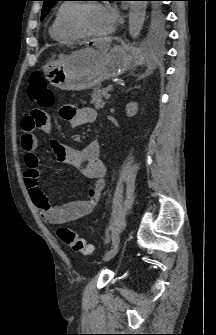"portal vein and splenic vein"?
<instances>
[{"instance_id": "portal-vein-and-splenic-vein-1", "label": "portal vein and splenic vein", "mask_w": 216, "mask_h": 335, "mask_svg": "<svg viewBox=\"0 0 216 335\" xmlns=\"http://www.w3.org/2000/svg\"><path fill=\"white\" fill-rule=\"evenodd\" d=\"M110 97H111V94L108 93V94H106L105 99L108 100V99H110Z\"/></svg>"}]
</instances>
